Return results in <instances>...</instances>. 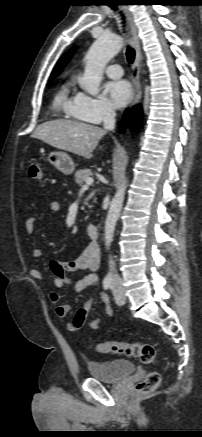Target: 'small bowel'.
Listing matches in <instances>:
<instances>
[{"instance_id":"small-bowel-1","label":"small bowel","mask_w":202,"mask_h":437,"mask_svg":"<svg viewBox=\"0 0 202 437\" xmlns=\"http://www.w3.org/2000/svg\"><path fill=\"white\" fill-rule=\"evenodd\" d=\"M60 209V204L58 201H51L46 208L34 213L30 216L25 222V229L28 235L32 234L34 230V226L38 220V218L47 213H54ZM32 255L35 258H39L42 255V251L38 248L32 250ZM100 256L98 247L95 244H90L84 252L72 261H60L54 260L50 263V269L54 275V285L57 288H65L72 285V281L68 276V273L71 272H82L85 273L83 278L77 280L73 284V289L76 292H80L86 288H94L98 287V276L97 270L99 268ZM30 275L32 278L38 281L44 280V274L38 268H31ZM100 299L105 305V311L107 315L111 316L113 314L112 308L110 306L108 296L103 293H98ZM50 298L55 307V313L60 319H67L70 314V306L65 303H59L60 297L56 292H51ZM94 296L88 298L80 309L76 312L75 316L72 320L67 322V328L72 331H78L84 325L86 319L88 318L90 311L92 309L94 303ZM102 318L96 317L90 322V328L93 330H98L101 328Z\"/></svg>"}]
</instances>
